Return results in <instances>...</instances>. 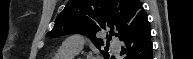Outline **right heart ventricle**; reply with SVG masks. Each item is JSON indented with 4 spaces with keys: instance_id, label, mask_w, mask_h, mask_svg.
I'll return each instance as SVG.
<instances>
[{
    "instance_id": "1",
    "label": "right heart ventricle",
    "mask_w": 193,
    "mask_h": 59,
    "mask_svg": "<svg viewBox=\"0 0 193 59\" xmlns=\"http://www.w3.org/2000/svg\"><path fill=\"white\" fill-rule=\"evenodd\" d=\"M77 53L65 50L62 47L56 52L52 59H73Z\"/></svg>"
}]
</instances>
